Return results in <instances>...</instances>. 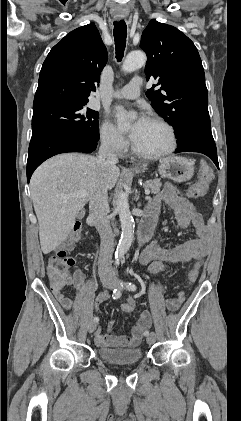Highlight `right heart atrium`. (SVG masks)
Wrapping results in <instances>:
<instances>
[{"mask_svg": "<svg viewBox=\"0 0 241 421\" xmlns=\"http://www.w3.org/2000/svg\"><path fill=\"white\" fill-rule=\"evenodd\" d=\"M99 136L102 144L112 152L122 154L127 150L125 137L109 120H104L100 125Z\"/></svg>", "mask_w": 241, "mask_h": 421, "instance_id": "1", "label": "right heart atrium"}]
</instances>
